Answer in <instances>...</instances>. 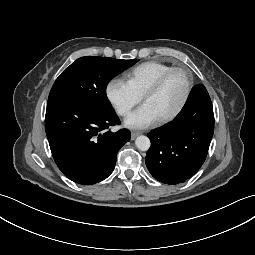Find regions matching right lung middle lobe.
<instances>
[{
  "instance_id": "dd1d6c3e",
  "label": "right lung middle lobe",
  "mask_w": 255,
  "mask_h": 255,
  "mask_svg": "<svg viewBox=\"0 0 255 255\" xmlns=\"http://www.w3.org/2000/svg\"><path fill=\"white\" fill-rule=\"evenodd\" d=\"M137 61L138 59L81 57L56 79L48 101L71 100L88 105L99 112L111 113L113 109L106 96L107 85Z\"/></svg>"
}]
</instances>
